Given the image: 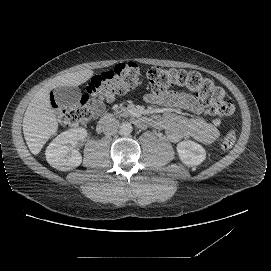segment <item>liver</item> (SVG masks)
<instances>
[{
  "label": "liver",
  "instance_id": "1",
  "mask_svg": "<svg viewBox=\"0 0 271 271\" xmlns=\"http://www.w3.org/2000/svg\"><path fill=\"white\" fill-rule=\"evenodd\" d=\"M92 75L93 72L88 69L62 74L50 79L34 95L23 118L24 138L32 154H38L48 138L56 132L57 123L50 109L49 91L56 87L77 86Z\"/></svg>",
  "mask_w": 271,
  "mask_h": 271
}]
</instances>
